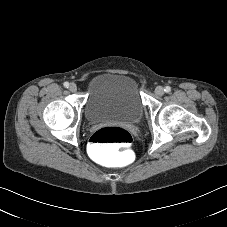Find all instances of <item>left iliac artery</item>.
<instances>
[{"label": "left iliac artery", "mask_w": 227, "mask_h": 227, "mask_svg": "<svg viewBox=\"0 0 227 227\" xmlns=\"http://www.w3.org/2000/svg\"><path fill=\"white\" fill-rule=\"evenodd\" d=\"M164 91H165L166 93L171 92V87H170V86H166L165 89H164Z\"/></svg>", "instance_id": "44dca946"}]
</instances>
